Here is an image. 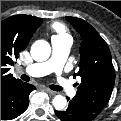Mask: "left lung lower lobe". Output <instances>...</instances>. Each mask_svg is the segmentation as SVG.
Returning <instances> with one entry per match:
<instances>
[{
	"label": "left lung lower lobe",
	"instance_id": "0a47b994",
	"mask_svg": "<svg viewBox=\"0 0 121 121\" xmlns=\"http://www.w3.org/2000/svg\"><path fill=\"white\" fill-rule=\"evenodd\" d=\"M55 113L62 121H91L98 115L77 105L73 101L69 102V106L65 111L56 110Z\"/></svg>",
	"mask_w": 121,
	"mask_h": 121
}]
</instances>
